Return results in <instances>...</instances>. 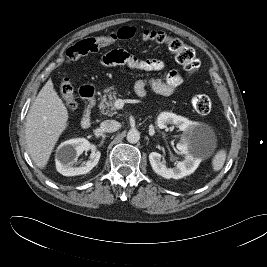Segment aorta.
Instances as JSON below:
<instances>
[{
    "instance_id": "762f6f07",
    "label": "aorta",
    "mask_w": 267,
    "mask_h": 267,
    "mask_svg": "<svg viewBox=\"0 0 267 267\" xmlns=\"http://www.w3.org/2000/svg\"><path fill=\"white\" fill-rule=\"evenodd\" d=\"M140 139V133L137 129H131L127 133V141L131 144H135Z\"/></svg>"
}]
</instances>
